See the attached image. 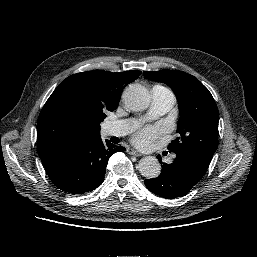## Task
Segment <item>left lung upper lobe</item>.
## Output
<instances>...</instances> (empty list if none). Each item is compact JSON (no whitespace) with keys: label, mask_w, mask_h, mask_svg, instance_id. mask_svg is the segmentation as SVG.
Segmentation results:
<instances>
[{"label":"left lung upper lobe","mask_w":257,"mask_h":257,"mask_svg":"<svg viewBox=\"0 0 257 257\" xmlns=\"http://www.w3.org/2000/svg\"><path fill=\"white\" fill-rule=\"evenodd\" d=\"M144 75L170 86L178 98L179 136L168 145V150L198 151L212 158L218 147L219 111L209 90L197 78L182 71L164 69L145 71Z\"/></svg>","instance_id":"left-lung-upper-lobe-1"}]
</instances>
